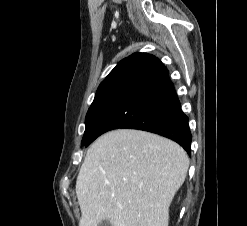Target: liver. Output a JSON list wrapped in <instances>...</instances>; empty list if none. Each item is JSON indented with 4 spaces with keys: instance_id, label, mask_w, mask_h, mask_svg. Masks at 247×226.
I'll return each mask as SVG.
<instances>
[{
    "instance_id": "obj_1",
    "label": "liver",
    "mask_w": 247,
    "mask_h": 226,
    "mask_svg": "<svg viewBox=\"0 0 247 226\" xmlns=\"http://www.w3.org/2000/svg\"><path fill=\"white\" fill-rule=\"evenodd\" d=\"M189 167L187 153L158 135L110 131L88 149L76 181L79 226H168L169 206Z\"/></svg>"
}]
</instances>
